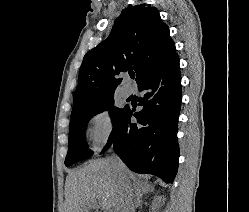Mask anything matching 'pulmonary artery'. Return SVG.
I'll return each instance as SVG.
<instances>
[{
	"mask_svg": "<svg viewBox=\"0 0 249 212\" xmlns=\"http://www.w3.org/2000/svg\"><path fill=\"white\" fill-rule=\"evenodd\" d=\"M123 81H124V85L122 87L121 94L123 98H128L133 93V86H132L130 77L128 75L124 76Z\"/></svg>",
	"mask_w": 249,
	"mask_h": 212,
	"instance_id": "1",
	"label": "pulmonary artery"
}]
</instances>
